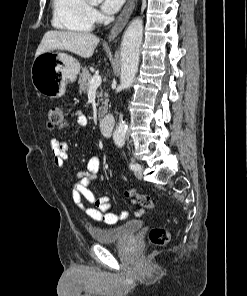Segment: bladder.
I'll return each mask as SVG.
<instances>
[{"mask_svg":"<svg viewBox=\"0 0 247 296\" xmlns=\"http://www.w3.org/2000/svg\"><path fill=\"white\" fill-rule=\"evenodd\" d=\"M143 226L144 223L141 220H130L120 226H89L88 231L95 242L112 243L128 239L140 231Z\"/></svg>","mask_w":247,"mask_h":296,"instance_id":"1","label":"bladder"}]
</instances>
